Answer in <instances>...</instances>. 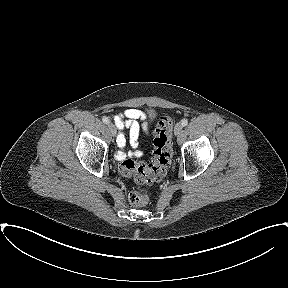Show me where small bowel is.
I'll use <instances>...</instances> for the list:
<instances>
[{
    "mask_svg": "<svg viewBox=\"0 0 288 288\" xmlns=\"http://www.w3.org/2000/svg\"><path fill=\"white\" fill-rule=\"evenodd\" d=\"M139 121H141V124ZM114 122L118 130L121 131L117 137L118 146L121 148L125 146L126 138L122 131L127 129L129 130V143L134 149L133 152L128 153L124 151L117 152V159L122 160L131 156L140 157L142 151L140 150L139 134L141 130L145 132L148 130L146 114L140 109L128 108L114 116Z\"/></svg>",
    "mask_w": 288,
    "mask_h": 288,
    "instance_id": "1",
    "label": "small bowel"
}]
</instances>
